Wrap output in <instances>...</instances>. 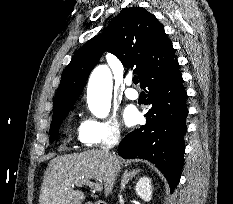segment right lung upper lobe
I'll list each match as a JSON object with an SVG mask.
<instances>
[{"label": "right lung upper lobe", "mask_w": 233, "mask_h": 204, "mask_svg": "<svg viewBox=\"0 0 233 204\" xmlns=\"http://www.w3.org/2000/svg\"><path fill=\"white\" fill-rule=\"evenodd\" d=\"M109 51L126 68H134L141 86L178 63L172 42L157 18L141 7L126 8L101 35L85 43L64 69L54 100L53 119L70 111L103 52Z\"/></svg>", "instance_id": "1"}]
</instances>
